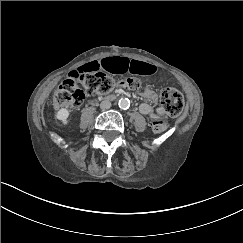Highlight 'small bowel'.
Here are the masks:
<instances>
[{
  "label": "small bowel",
  "mask_w": 243,
  "mask_h": 243,
  "mask_svg": "<svg viewBox=\"0 0 243 243\" xmlns=\"http://www.w3.org/2000/svg\"><path fill=\"white\" fill-rule=\"evenodd\" d=\"M107 71L112 74L133 73L137 75H150L156 72V67L150 63L133 60L126 57H109L99 61H92L81 65L76 72H98ZM144 98L149 102H154L157 95L151 89L143 92ZM141 113L148 115L153 119L163 117L164 110L160 107H154L150 103L140 105Z\"/></svg>",
  "instance_id": "small-bowel-1"
}]
</instances>
